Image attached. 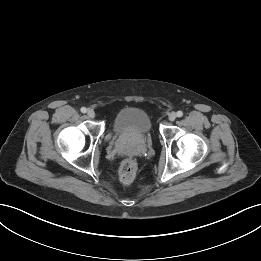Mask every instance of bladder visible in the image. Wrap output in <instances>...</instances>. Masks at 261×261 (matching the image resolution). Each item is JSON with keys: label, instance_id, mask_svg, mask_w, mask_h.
I'll list each match as a JSON object with an SVG mask.
<instances>
[{"label": "bladder", "instance_id": "bladder-1", "mask_svg": "<svg viewBox=\"0 0 261 261\" xmlns=\"http://www.w3.org/2000/svg\"><path fill=\"white\" fill-rule=\"evenodd\" d=\"M152 130L150 115L141 108L127 107L120 110L112 122V131L122 136H142Z\"/></svg>", "mask_w": 261, "mask_h": 261}]
</instances>
